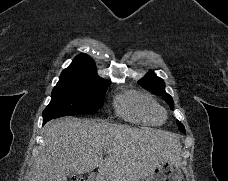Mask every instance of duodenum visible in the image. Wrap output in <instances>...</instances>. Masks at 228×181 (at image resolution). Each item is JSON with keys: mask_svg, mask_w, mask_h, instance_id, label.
<instances>
[{"mask_svg": "<svg viewBox=\"0 0 228 181\" xmlns=\"http://www.w3.org/2000/svg\"><path fill=\"white\" fill-rule=\"evenodd\" d=\"M89 181H98V178H89Z\"/></svg>", "mask_w": 228, "mask_h": 181, "instance_id": "obj_1", "label": "duodenum"}]
</instances>
